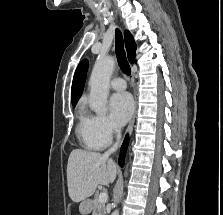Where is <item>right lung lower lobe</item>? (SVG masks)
Instances as JSON below:
<instances>
[{
	"label": "right lung lower lobe",
	"mask_w": 223,
	"mask_h": 215,
	"mask_svg": "<svg viewBox=\"0 0 223 215\" xmlns=\"http://www.w3.org/2000/svg\"><path fill=\"white\" fill-rule=\"evenodd\" d=\"M127 145H128V137L126 136V138L123 142V145L121 147L120 156H119V165L121 167H123V165H124L125 151L127 149Z\"/></svg>",
	"instance_id": "right-lung-lower-lobe-1"
}]
</instances>
